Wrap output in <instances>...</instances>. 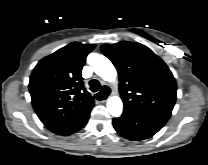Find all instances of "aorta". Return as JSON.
<instances>
[{
    "instance_id": "aorta-1",
    "label": "aorta",
    "mask_w": 208,
    "mask_h": 165,
    "mask_svg": "<svg viewBox=\"0 0 208 165\" xmlns=\"http://www.w3.org/2000/svg\"><path fill=\"white\" fill-rule=\"evenodd\" d=\"M88 63L93 68V71L103 80L114 82L117 78V71L112 62L103 55L91 53L88 56ZM107 110L114 116L121 115L123 110V103L119 96H112L107 101Z\"/></svg>"
}]
</instances>
